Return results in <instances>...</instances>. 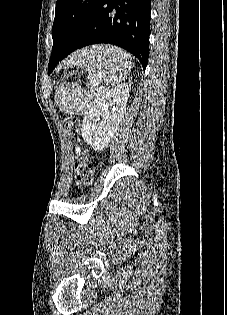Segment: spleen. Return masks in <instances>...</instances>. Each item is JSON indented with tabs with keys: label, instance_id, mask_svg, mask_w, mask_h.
<instances>
[{
	"label": "spleen",
	"instance_id": "3e777b00",
	"mask_svg": "<svg viewBox=\"0 0 227 315\" xmlns=\"http://www.w3.org/2000/svg\"><path fill=\"white\" fill-rule=\"evenodd\" d=\"M130 56L118 47L93 46L74 52L65 61L64 66L81 67L95 74L91 81V90L82 91L75 85H62L56 90L55 101L59 108L69 114L86 115L97 103L102 92L98 85H116L124 81L131 70Z\"/></svg>",
	"mask_w": 227,
	"mask_h": 315
}]
</instances>
